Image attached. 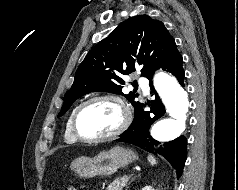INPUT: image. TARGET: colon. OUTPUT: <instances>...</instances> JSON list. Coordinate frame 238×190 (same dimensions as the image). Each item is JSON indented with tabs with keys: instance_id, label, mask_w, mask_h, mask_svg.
Instances as JSON below:
<instances>
[{
	"instance_id": "obj_1",
	"label": "colon",
	"mask_w": 238,
	"mask_h": 190,
	"mask_svg": "<svg viewBox=\"0 0 238 190\" xmlns=\"http://www.w3.org/2000/svg\"><path fill=\"white\" fill-rule=\"evenodd\" d=\"M68 190H77L76 188H69Z\"/></svg>"
}]
</instances>
